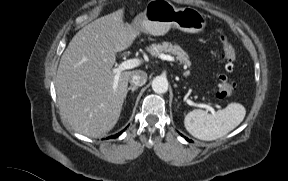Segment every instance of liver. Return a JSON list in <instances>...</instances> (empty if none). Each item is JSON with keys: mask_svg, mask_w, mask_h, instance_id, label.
Here are the masks:
<instances>
[{"mask_svg": "<svg viewBox=\"0 0 288 181\" xmlns=\"http://www.w3.org/2000/svg\"><path fill=\"white\" fill-rule=\"evenodd\" d=\"M123 16L124 9H119L79 30L58 66L55 85L60 110L75 131L89 137H99L115 126L134 72L122 71L113 88L116 53L130 47L137 36Z\"/></svg>", "mask_w": 288, "mask_h": 181, "instance_id": "liver-1", "label": "liver"}]
</instances>
